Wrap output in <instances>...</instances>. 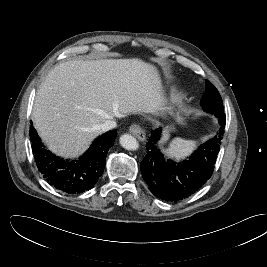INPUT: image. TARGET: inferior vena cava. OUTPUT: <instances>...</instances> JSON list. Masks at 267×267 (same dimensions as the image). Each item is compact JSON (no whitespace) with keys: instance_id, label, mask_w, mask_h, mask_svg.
<instances>
[{"instance_id":"602c4592","label":"inferior vena cava","mask_w":267,"mask_h":267,"mask_svg":"<svg viewBox=\"0 0 267 267\" xmlns=\"http://www.w3.org/2000/svg\"><path fill=\"white\" fill-rule=\"evenodd\" d=\"M117 126V123L114 119H108L103 124H101L100 129L103 132L114 129Z\"/></svg>"}]
</instances>
